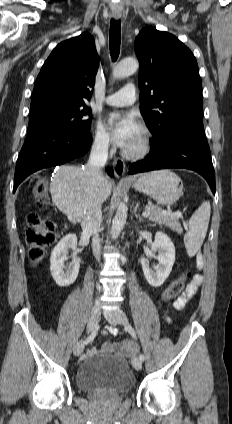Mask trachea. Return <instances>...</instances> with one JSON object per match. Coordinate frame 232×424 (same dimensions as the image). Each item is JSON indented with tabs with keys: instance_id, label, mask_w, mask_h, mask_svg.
Listing matches in <instances>:
<instances>
[{
	"instance_id": "3493384b",
	"label": "trachea",
	"mask_w": 232,
	"mask_h": 424,
	"mask_svg": "<svg viewBox=\"0 0 232 424\" xmlns=\"http://www.w3.org/2000/svg\"><path fill=\"white\" fill-rule=\"evenodd\" d=\"M120 33V21H115L114 19H112L110 23L109 49L113 61L118 58L120 53Z\"/></svg>"
}]
</instances>
